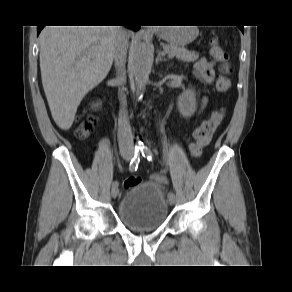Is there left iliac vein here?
<instances>
[{"mask_svg":"<svg viewBox=\"0 0 292 292\" xmlns=\"http://www.w3.org/2000/svg\"><path fill=\"white\" fill-rule=\"evenodd\" d=\"M168 202H169L170 205H174L175 204V198H174V196L169 197L168 198Z\"/></svg>","mask_w":292,"mask_h":292,"instance_id":"4c4485c4","label":"left iliac vein"}]
</instances>
